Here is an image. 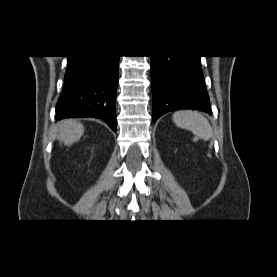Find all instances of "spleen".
I'll use <instances>...</instances> for the list:
<instances>
[{
	"instance_id": "spleen-1",
	"label": "spleen",
	"mask_w": 277,
	"mask_h": 277,
	"mask_svg": "<svg viewBox=\"0 0 277 277\" xmlns=\"http://www.w3.org/2000/svg\"><path fill=\"white\" fill-rule=\"evenodd\" d=\"M174 123L180 127L190 130L195 138L209 140L212 137V128L208 120L200 113L193 111H178L173 115Z\"/></svg>"
}]
</instances>
